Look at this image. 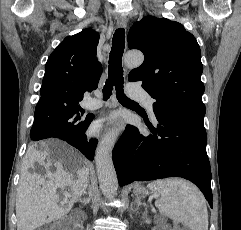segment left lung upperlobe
<instances>
[{
	"label": "left lung upper lobe",
	"instance_id": "obj_1",
	"mask_svg": "<svg viewBox=\"0 0 241 230\" xmlns=\"http://www.w3.org/2000/svg\"><path fill=\"white\" fill-rule=\"evenodd\" d=\"M128 47L141 50L145 57L128 79L142 82V87L156 100L153 107L204 118L200 47L182 24L147 16L131 27Z\"/></svg>",
	"mask_w": 241,
	"mask_h": 230
}]
</instances>
